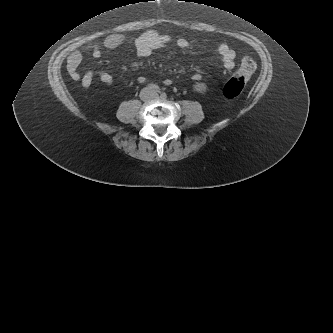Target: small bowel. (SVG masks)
<instances>
[{"instance_id":"obj_1","label":"small bowel","mask_w":333,"mask_h":333,"mask_svg":"<svg viewBox=\"0 0 333 333\" xmlns=\"http://www.w3.org/2000/svg\"><path fill=\"white\" fill-rule=\"evenodd\" d=\"M129 43L134 46L136 53L139 57H148L152 51L157 48H162L167 45H176L184 50H192L193 43L190 39L185 37L178 38H165L159 34H146L134 38H127L122 34H113L105 38L100 43H94L85 46L82 50L91 53L94 58H100L102 51L112 50L122 44ZM217 53L220 57L221 63L226 70H232L235 67V52L228 45L221 44L217 48ZM67 63V72L71 79L80 81L83 88H89L93 79L97 77L103 84L111 86L114 82L113 76L106 71H87L81 75L78 71L79 64L82 60V52L78 49H72L65 55ZM194 81H199L202 75L196 72L191 77ZM138 81L144 83L146 79L139 77ZM172 80H166L165 84H172Z\"/></svg>"}]
</instances>
